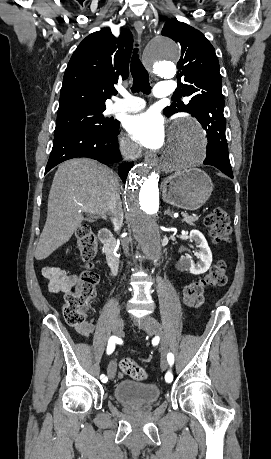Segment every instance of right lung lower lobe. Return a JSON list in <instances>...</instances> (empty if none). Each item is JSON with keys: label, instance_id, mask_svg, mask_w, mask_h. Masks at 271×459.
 <instances>
[{"label": "right lung lower lobe", "instance_id": "obj_1", "mask_svg": "<svg viewBox=\"0 0 271 459\" xmlns=\"http://www.w3.org/2000/svg\"><path fill=\"white\" fill-rule=\"evenodd\" d=\"M118 129L119 122L108 130L77 129L55 136L45 173L57 164L77 157L92 158L104 164L119 161V145L116 138ZM132 166H119V176L123 181L126 180Z\"/></svg>", "mask_w": 271, "mask_h": 459}]
</instances>
